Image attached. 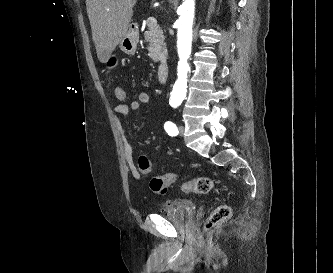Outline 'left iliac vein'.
<instances>
[{"instance_id": "4c4485c4", "label": "left iliac vein", "mask_w": 333, "mask_h": 273, "mask_svg": "<svg viewBox=\"0 0 333 273\" xmlns=\"http://www.w3.org/2000/svg\"><path fill=\"white\" fill-rule=\"evenodd\" d=\"M184 132H185V128H184V126H179V134L180 135H184Z\"/></svg>"}]
</instances>
